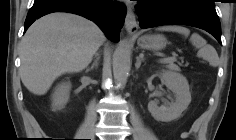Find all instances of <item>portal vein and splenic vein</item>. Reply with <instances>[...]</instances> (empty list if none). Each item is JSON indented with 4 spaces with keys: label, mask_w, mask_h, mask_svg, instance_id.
I'll return each instance as SVG.
<instances>
[{
    "label": "portal vein and splenic vein",
    "mask_w": 236,
    "mask_h": 140,
    "mask_svg": "<svg viewBox=\"0 0 236 140\" xmlns=\"http://www.w3.org/2000/svg\"><path fill=\"white\" fill-rule=\"evenodd\" d=\"M161 62H174L176 61V57L173 56V57H166V58H163L160 60Z\"/></svg>",
    "instance_id": "18ae733b"
}]
</instances>
